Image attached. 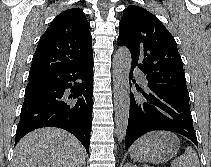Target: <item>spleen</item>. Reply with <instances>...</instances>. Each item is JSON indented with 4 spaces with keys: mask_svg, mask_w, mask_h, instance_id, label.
Here are the masks:
<instances>
[{
    "mask_svg": "<svg viewBox=\"0 0 211 167\" xmlns=\"http://www.w3.org/2000/svg\"><path fill=\"white\" fill-rule=\"evenodd\" d=\"M171 167H200L196 151L188 146L183 155L171 162Z\"/></svg>",
    "mask_w": 211,
    "mask_h": 167,
    "instance_id": "spleen-1",
    "label": "spleen"
}]
</instances>
